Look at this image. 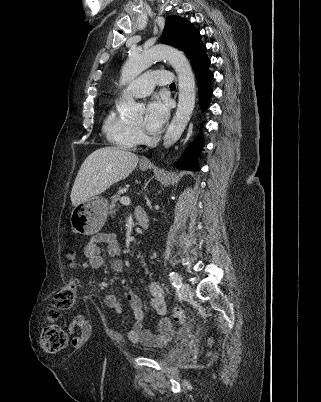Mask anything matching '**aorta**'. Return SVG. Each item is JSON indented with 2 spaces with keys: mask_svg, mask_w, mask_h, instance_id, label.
I'll return each mask as SVG.
<instances>
[{
  "mask_svg": "<svg viewBox=\"0 0 321 402\" xmlns=\"http://www.w3.org/2000/svg\"><path fill=\"white\" fill-rule=\"evenodd\" d=\"M167 60L178 76V106L176 113L164 135L165 148L172 146L182 135L195 106V77L191 65L182 51L167 45H156L148 50L139 52L130 50L122 71L123 82L136 78L157 60ZM120 114L129 118L142 115L143 107L133 99L124 101L117 106Z\"/></svg>",
  "mask_w": 321,
  "mask_h": 402,
  "instance_id": "1",
  "label": "aorta"
}]
</instances>
